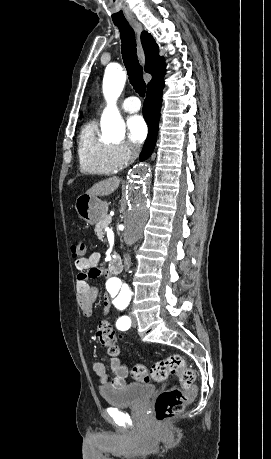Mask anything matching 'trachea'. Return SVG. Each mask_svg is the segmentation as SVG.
Segmentation results:
<instances>
[{
  "mask_svg": "<svg viewBox=\"0 0 271 459\" xmlns=\"http://www.w3.org/2000/svg\"><path fill=\"white\" fill-rule=\"evenodd\" d=\"M121 37V53L128 78L134 90L144 97L146 83L143 79V67L137 58L135 32L129 24L116 25Z\"/></svg>",
  "mask_w": 271,
  "mask_h": 459,
  "instance_id": "1",
  "label": "trachea"
}]
</instances>
